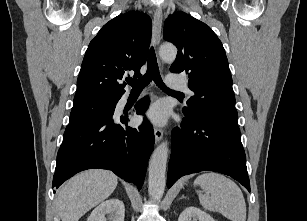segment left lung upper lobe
<instances>
[{
    "mask_svg": "<svg viewBox=\"0 0 307 221\" xmlns=\"http://www.w3.org/2000/svg\"><path fill=\"white\" fill-rule=\"evenodd\" d=\"M164 39L178 49L170 71L187 74L188 86L195 93L184 114H206L239 129L228 60L212 29L191 15L176 12L165 21Z\"/></svg>",
    "mask_w": 307,
    "mask_h": 221,
    "instance_id": "left-lung-upper-lobe-1",
    "label": "left lung upper lobe"
}]
</instances>
